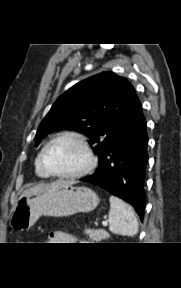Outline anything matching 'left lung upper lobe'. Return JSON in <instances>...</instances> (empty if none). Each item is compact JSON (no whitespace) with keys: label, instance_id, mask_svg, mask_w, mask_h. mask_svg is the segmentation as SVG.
<instances>
[{"label":"left lung upper lobe","instance_id":"5c2ea615","mask_svg":"<svg viewBox=\"0 0 181 288\" xmlns=\"http://www.w3.org/2000/svg\"><path fill=\"white\" fill-rule=\"evenodd\" d=\"M126 78L103 72L75 84L62 94L36 133V146L51 132L67 129L90 138L99 161L116 138L136 98Z\"/></svg>","mask_w":181,"mask_h":288}]
</instances>
